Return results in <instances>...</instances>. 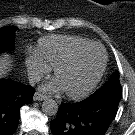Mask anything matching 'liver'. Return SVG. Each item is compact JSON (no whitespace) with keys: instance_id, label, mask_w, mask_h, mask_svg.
Returning <instances> with one entry per match:
<instances>
[{"instance_id":"liver-1","label":"liver","mask_w":135,"mask_h":135,"mask_svg":"<svg viewBox=\"0 0 135 135\" xmlns=\"http://www.w3.org/2000/svg\"><path fill=\"white\" fill-rule=\"evenodd\" d=\"M10 60L7 55L0 57V77L7 73V69H9Z\"/></svg>"}]
</instances>
